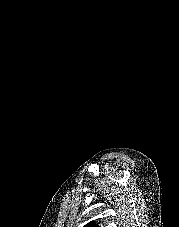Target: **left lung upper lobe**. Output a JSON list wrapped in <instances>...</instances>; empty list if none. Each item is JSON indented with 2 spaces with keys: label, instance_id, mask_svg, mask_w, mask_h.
Here are the masks:
<instances>
[{
  "label": "left lung upper lobe",
  "instance_id": "5c2ea615",
  "mask_svg": "<svg viewBox=\"0 0 179 227\" xmlns=\"http://www.w3.org/2000/svg\"><path fill=\"white\" fill-rule=\"evenodd\" d=\"M84 227H99V225L94 223V221H91V222L87 223L86 225H84Z\"/></svg>",
  "mask_w": 179,
  "mask_h": 227
}]
</instances>
